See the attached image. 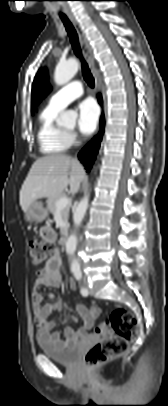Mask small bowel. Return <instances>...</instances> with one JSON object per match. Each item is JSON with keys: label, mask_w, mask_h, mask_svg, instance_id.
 <instances>
[{"label": "small bowel", "mask_w": 168, "mask_h": 406, "mask_svg": "<svg viewBox=\"0 0 168 406\" xmlns=\"http://www.w3.org/2000/svg\"><path fill=\"white\" fill-rule=\"evenodd\" d=\"M40 236L49 243H54L56 240L55 231L48 226L40 229ZM62 269V260L60 254L56 251L48 259L46 265L35 272L34 289L32 291V309L34 321L37 326V335L58 346H71L79 339L87 337V331L94 327L96 319L101 314V308L98 306L86 307L78 305L77 310L83 319L84 326L79 330L67 326L62 333L54 332L55 322L48 319L49 315L55 311H62L64 304L62 300L57 299L53 293L48 294L51 302L43 304V296L37 291L41 285L56 286L60 283V271ZM70 287H76L75 282H70ZM72 320L70 317H65L64 321ZM96 334L100 335L98 327Z\"/></svg>", "instance_id": "c3829d8e"}]
</instances>
